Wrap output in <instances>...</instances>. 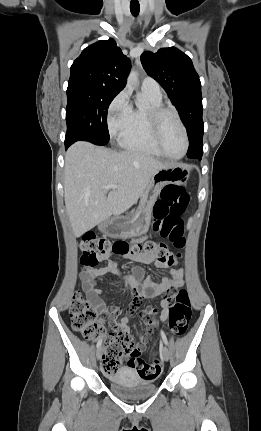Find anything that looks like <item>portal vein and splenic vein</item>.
<instances>
[{"label":"portal vein and splenic vein","mask_w":261,"mask_h":431,"mask_svg":"<svg viewBox=\"0 0 261 431\" xmlns=\"http://www.w3.org/2000/svg\"><path fill=\"white\" fill-rule=\"evenodd\" d=\"M115 187H117L116 185H114V184H108L107 185V188H115Z\"/></svg>","instance_id":"portal-vein-and-splenic-vein-1"}]
</instances>
